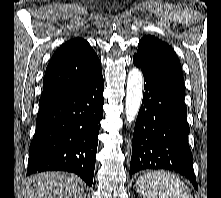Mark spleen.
I'll use <instances>...</instances> for the list:
<instances>
[{
    "mask_svg": "<svg viewBox=\"0 0 221 198\" xmlns=\"http://www.w3.org/2000/svg\"><path fill=\"white\" fill-rule=\"evenodd\" d=\"M135 187L142 198H193L180 178L168 171L145 173Z\"/></svg>",
    "mask_w": 221,
    "mask_h": 198,
    "instance_id": "3e777b00",
    "label": "spleen"
}]
</instances>
